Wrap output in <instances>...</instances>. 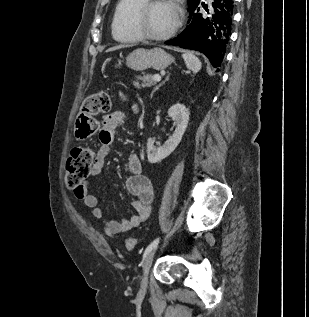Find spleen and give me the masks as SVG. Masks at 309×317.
Returning <instances> with one entry per match:
<instances>
[{
	"instance_id": "3e777b00",
	"label": "spleen",
	"mask_w": 309,
	"mask_h": 317,
	"mask_svg": "<svg viewBox=\"0 0 309 317\" xmlns=\"http://www.w3.org/2000/svg\"><path fill=\"white\" fill-rule=\"evenodd\" d=\"M182 57L189 71H192L194 74L200 71L202 64L193 53H184L182 54Z\"/></svg>"
}]
</instances>
